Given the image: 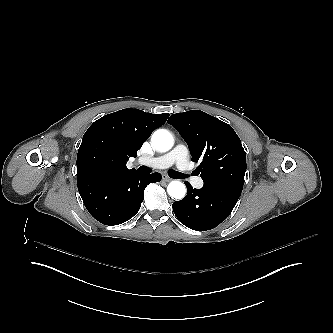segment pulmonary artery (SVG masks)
Segmentation results:
<instances>
[{"mask_svg": "<svg viewBox=\"0 0 333 333\" xmlns=\"http://www.w3.org/2000/svg\"><path fill=\"white\" fill-rule=\"evenodd\" d=\"M178 146H176L177 148ZM173 148L170 150L169 153H167L166 155L160 157L157 156L155 158H150L147 157L144 159L143 164L145 167L147 168H151L152 166L155 168H166L168 167L172 162L176 160L177 161V168L178 170L181 172L184 171V173L186 174L185 177L189 180L192 179V185L196 188V189H201L203 187V182L201 181L200 177H192L190 174H188V170H187V162H188V155L191 152V149L188 145L183 144L181 146L178 147V149ZM140 160H138L136 162V164H139Z\"/></svg>", "mask_w": 333, "mask_h": 333, "instance_id": "obj_1", "label": "pulmonary artery"}]
</instances>
